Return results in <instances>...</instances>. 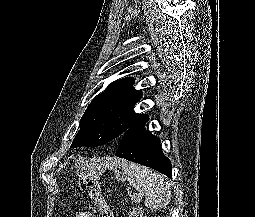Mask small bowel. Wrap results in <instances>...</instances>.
Returning a JSON list of instances; mask_svg holds the SVG:
<instances>
[{"label": "small bowel", "mask_w": 255, "mask_h": 217, "mask_svg": "<svg viewBox=\"0 0 255 217\" xmlns=\"http://www.w3.org/2000/svg\"><path fill=\"white\" fill-rule=\"evenodd\" d=\"M105 209H106V213L103 212L102 210H100L101 213H102V215H103V217H111V212H110V209H109V207L107 206V204L105 205ZM76 217H93V215H92V213L89 212V211H81V212H79V213L77 214Z\"/></svg>", "instance_id": "1"}]
</instances>
